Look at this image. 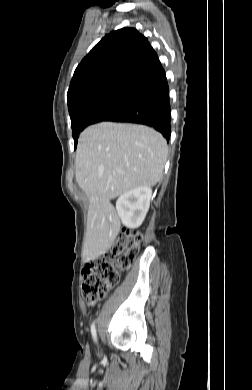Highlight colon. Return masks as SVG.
Listing matches in <instances>:
<instances>
[{
  "instance_id": "1",
  "label": "colon",
  "mask_w": 252,
  "mask_h": 390,
  "mask_svg": "<svg viewBox=\"0 0 252 390\" xmlns=\"http://www.w3.org/2000/svg\"><path fill=\"white\" fill-rule=\"evenodd\" d=\"M142 235L123 233L103 257L88 262L83 269V292L90 305L101 300L119 280V271L130 267L139 252Z\"/></svg>"
}]
</instances>
